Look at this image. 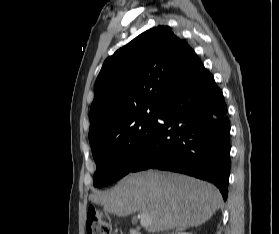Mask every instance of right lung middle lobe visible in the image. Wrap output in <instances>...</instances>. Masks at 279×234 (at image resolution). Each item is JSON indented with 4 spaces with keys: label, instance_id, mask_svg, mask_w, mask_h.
I'll return each instance as SVG.
<instances>
[{
    "label": "right lung middle lobe",
    "instance_id": "right-lung-middle-lobe-1",
    "mask_svg": "<svg viewBox=\"0 0 279 234\" xmlns=\"http://www.w3.org/2000/svg\"><path fill=\"white\" fill-rule=\"evenodd\" d=\"M159 108L124 118L108 135L91 143L97 165L94 186H106L131 172L147 148L157 125Z\"/></svg>",
    "mask_w": 279,
    "mask_h": 234
}]
</instances>
